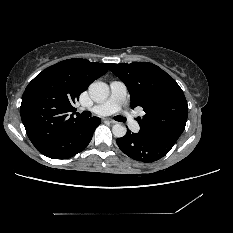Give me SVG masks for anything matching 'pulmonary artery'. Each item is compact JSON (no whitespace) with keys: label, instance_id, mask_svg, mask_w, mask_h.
Returning <instances> with one entry per match:
<instances>
[{"label":"pulmonary artery","instance_id":"pulmonary-artery-1","mask_svg":"<svg viewBox=\"0 0 233 233\" xmlns=\"http://www.w3.org/2000/svg\"><path fill=\"white\" fill-rule=\"evenodd\" d=\"M127 96V87L121 81H112L110 83V95L102 103L91 108V111L105 116L114 112H119ZM124 122L135 132L140 130L139 122L127 112H122Z\"/></svg>","mask_w":233,"mask_h":233}]
</instances>
